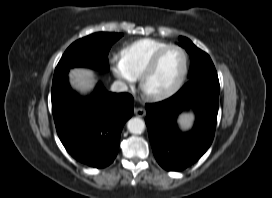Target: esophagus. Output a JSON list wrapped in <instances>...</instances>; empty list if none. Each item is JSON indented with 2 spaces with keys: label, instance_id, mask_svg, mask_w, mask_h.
<instances>
[{
  "label": "esophagus",
  "instance_id": "1",
  "mask_svg": "<svg viewBox=\"0 0 272 198\" xmlns=\"http://www.w3.org/2000/svg\"><path fill=\"white\" fill-rule=\"evenodd\" d=\"M134 114L139 117H143L146 114V110L143 107H135Z\"/></svg>",
  "mask_w": 272,
  "mask_h": 198
}]
</instances>
